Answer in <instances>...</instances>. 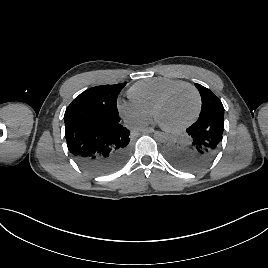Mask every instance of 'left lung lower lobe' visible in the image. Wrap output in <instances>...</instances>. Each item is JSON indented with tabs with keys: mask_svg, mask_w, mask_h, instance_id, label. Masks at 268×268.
<instances>
[{
	"mask_svg": "<svg viewBox=\"0 0 268 268\" xmlns=\"http://www.w3.org/2000/svg\"><path fill=\"white\" fill-rule=\"evenodd\" d=\"M224 131L223 117L197 120L185 134L168 144L167 158L182 170L197 171L208 166L220 151Z\"/></svg>",
	"mask_w": 268,
	"mask_h": 268,
	"instance_id": "0a47b994",
	"label": "left lung lower lobe"
}]
</instances>
